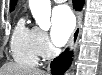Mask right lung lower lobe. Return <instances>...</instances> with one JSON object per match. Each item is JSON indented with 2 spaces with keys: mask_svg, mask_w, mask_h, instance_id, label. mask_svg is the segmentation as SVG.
Wrapping results in <instances>:
<instances>
[{
  "mask_svg": "<svg viewBox=\"0 0 102 75\" xmlns=\"http://www.w3.org/2000/svg\"><path fill=\"white\" fill-rule=\"evenodd\" d=\"M83 3L84 0H73V6L76 10H81ZM72 56V54L68 56V52H64L59 57L54 59L52 62V74L63 75L72 62Z\"/></svg>",
  "mask_w": 102,
  "mask_h": 75,
  "instance_id": "1",
  "label": "right lung lower lobe"
}]
</instances>
